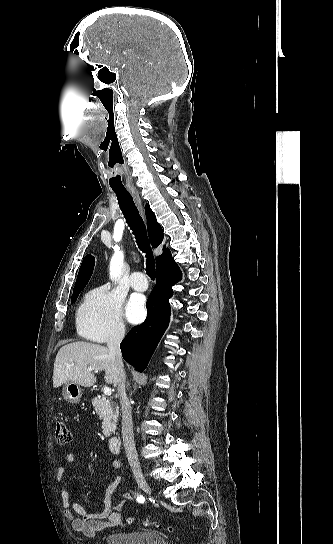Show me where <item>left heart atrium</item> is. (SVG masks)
<instances>
[{"instance_id":"obj_1","label":"left heart atrium","mask_w":333,"mask_h":544,"mask_svg":"<svg viewBox=\"0 0 333 544\" xmlns=\"http://www.w3.org/2000/svg\"><path fill=\"white\" fill-rule=\"evenodd\" d=\"M126 315L131 323H139L146 316L145 298L141 295H134L128 302Z\"/></svg>"}]
</instances>
